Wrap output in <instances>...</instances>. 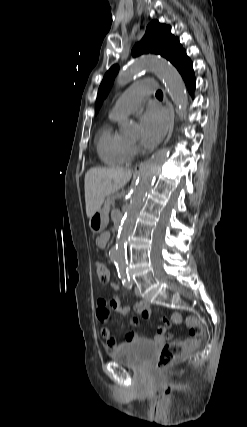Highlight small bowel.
I'll list each match as a JSON object with an SVG mask.
<instances>
[{
  "label": "small bowel",
  "mask_w": 247,
  "mask_h": 427,
  "mask_svg": "<svg viewBox=\"0 0 247 427\" xmlns=\"http://www.w3.org/2000/svg\"><path fill=\"white\" fill-rule=\"evenodd\" d=\"M110 239V233L105 232L101 234L97 239V245L101 248L105 247ZM114 290H118L119 287L115 283L110 285ZM114 311L121 315H127L131 311L136 312L143 319H149L151 316L150 306L145 301H140L136 303L133 307L124 306L121 302V299L118 296H113L111 299L107 300L104 298L99 299L97 304L96 316L101 323V334L105 340L106 347L110 351H115L126 344L135 341L138 338L137 333L130 331L125 335V340L118 344L113 337L107 323L109 321L110 312ZM182 317L178 312H172L170 314V319L163 317L160 319V323L156 326V334L154 340L157 342H163L166 338L171 337V333H167L170 330L171 324H180ZM140 320L138 317H134L130 320L131 326H137Z\"/></svg>",
  "instance_id": "1"
}]
</instances>
